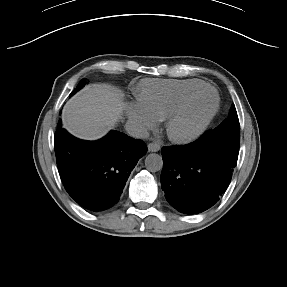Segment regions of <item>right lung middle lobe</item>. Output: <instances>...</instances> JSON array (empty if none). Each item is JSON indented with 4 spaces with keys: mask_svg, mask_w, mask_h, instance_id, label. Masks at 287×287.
<instances>
[{
    "mask_svg": "<svg viewBox=\"0 0 287 287\" xmlns=\"http://www.w3.org/2000/svg\"><path fill=\"white\" fill-rule=\"evenodd\" d=\"M84 85H85V79H82L80 83L77 85V88L70 94V96L73 95L75 92H77V90H80Z\"/></svg>",
    "mask_w": 287,
    "mask_h": 287,
    "instance_id": "right-lung-middle-lobe-1",
    "label": "right lung middle lobe"
}]
</instances>
